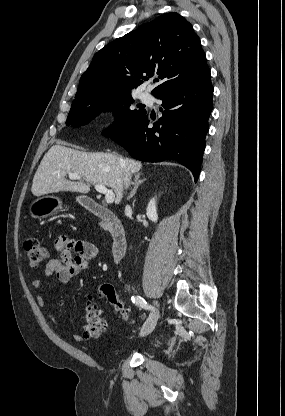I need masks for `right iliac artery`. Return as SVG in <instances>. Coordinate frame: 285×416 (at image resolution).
<instances>
[{"label": "right iliac artery", "mask_w": 285, "mask_h": 416, "mask_svg": "<svg viewBox=\"0 0 285 416\" xmlns=\"http://www.w3.org/2000/svg\"><path fill=\"white\" fill-rule=\"evenodd\" d=\"M132 302L136 304L137 306L144 308L146 310L154 311V307L150 304H148L144 298L140 296H132L131 298Z\"/></svg>", "instance_id": "82829eb1"}]
</instances>
